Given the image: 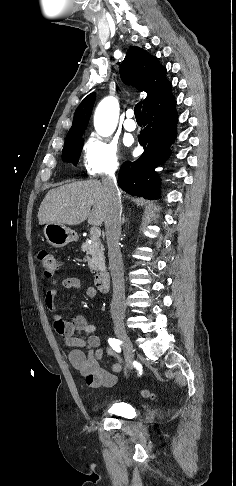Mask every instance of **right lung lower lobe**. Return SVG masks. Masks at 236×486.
Listing matches in <instances>:
<instances>
[{
  "instance_id": "right-lung-lower-lobe-1",
  "label": "right lung lower lobe",
  "mask_w": 236,
  "mask_h": 486,
  "mask_svg": "<svg viewBox=\"0 0 236 486\" xmlns=\"http://www.w3.org/2000/svg\"><path fill=\"white\" fill-rule=\"evenodd\" d=\"M176 101L172 93L142 110L143 129L138 136L144 153L134 162L126 161L120 168L118 185L127 193L158 198L159 178L155 172L170 154V146L176 134Z\"/></svg>"
}]
</instances>
